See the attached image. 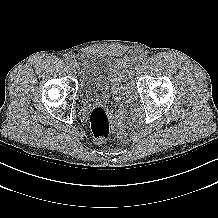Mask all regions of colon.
<instances>
[{"mask_svg":"<svg viewBox=\"0 0 218 218\" xmlns=\"http://www.w3.org/2000/svg\"><path fill=\"white\" fill-rule=\"evenodd\" d=\"M90 127L96 143L104 144L110 138L111 123L108 112L103 107H96L90 114Z\"/></svg>","mask_w":218,"mask_h":218,"instance_id":"obj_1","label":"colon"}]
</instances>
